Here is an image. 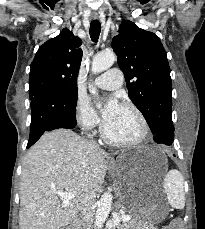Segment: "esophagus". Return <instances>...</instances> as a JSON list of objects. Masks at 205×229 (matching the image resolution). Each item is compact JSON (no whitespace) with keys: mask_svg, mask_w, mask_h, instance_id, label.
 Wrapping results in <instances>:
<instances>
[{"mask_svg":"<svg viewBox=\"0 0 205 229\" xmlns=\"http://www.w3.org/2000/svg\"><path fill=\"white\" fill-rule=\"evenodd\" d=\"M92 18H93V19H97L98 16H97V15H92Z\"/></svg>","mask_w":205,"mask_h":229,"instance_id":"esophagus-1","label":"esophagus"}]
</instances>
